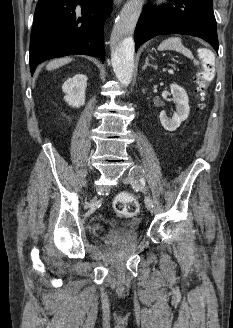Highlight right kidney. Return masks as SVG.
<instances>
[{"mask_svg":"<svg viewBox=\"0 0 233 328\" xmlns=\"http://www.w3.org/2000/svg\"><path fill=\"white\" fill-rule=\"evenodd\" d=\"M86 86L87 76L84 74H76L72 78H68L62 86V90L66 94L65 101L72 107L78 108L84 105Z\"/></svg>","mask_w":233,"mask_h":328,"instance_id":"right-kidney-1","label":"right kidney"}]
</instances>
